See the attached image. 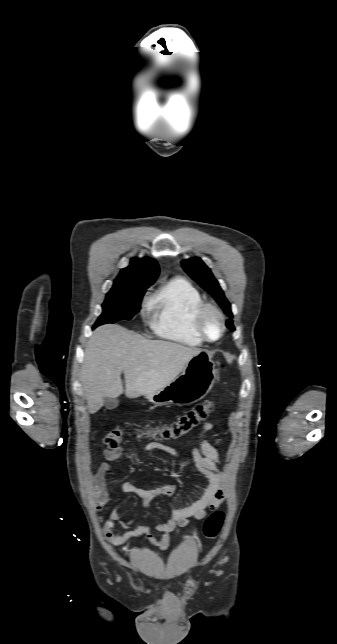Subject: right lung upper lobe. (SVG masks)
I'll list each match as a JSON object with an SVG mask.
<instances>
[{"label":"right lung upper lobe","mask_w":337,"mask_h":644,"mask_svg":"<svg viewBox=\"0 0 337 644\" xmlns=\"http://www.w3.org/2000/svg\"><path fill=\"white\" fill-rule=\"evenodd\" d=\"M158 275L159 267L154 259L133 258L130 265L120 272L112 289L148 288L155 282Z\"/></svg>","instance_id":"right-lung-upper-lobe-1"}]
</instances>
